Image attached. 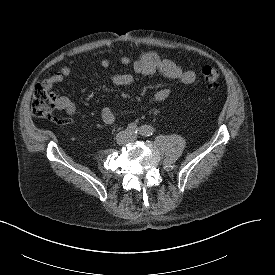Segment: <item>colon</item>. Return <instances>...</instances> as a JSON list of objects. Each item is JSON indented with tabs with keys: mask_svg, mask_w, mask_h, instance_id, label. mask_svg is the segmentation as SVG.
I'll list each match as a JSON object with an SVG mask.
<instances>
[{
	"mask_svg": "<svg viewBox=\"0 0 275 275\" xmlns=\"http://www.w3.org/2000/svg\"><path fill=\"white\" fill-rule=\"evenodd\" d=\"M202 77L208 88H217L220 85L221 72L212 66L202 69ZM58 106V98L44 83L35 85L32 95L31 108L33 114L38 118L49 119Z\"/></svg>",
	"mask_w": 275,
	"mask_h": 275,
	"instance_id": "5ec220e1",
	"label": "colon"
}]
</instances>
